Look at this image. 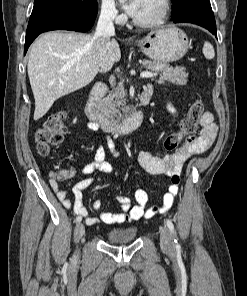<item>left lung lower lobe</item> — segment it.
Here are the masks:
<instances>
[{"label":"left lung lower lobe","instance_id":"left-lung-lower-lobe-1","mask_svg":"<svg viewBox=\"0 0 247 296\" xmlns=\"http://www.w3.org/2000/svg\"><path fill=\"white\" fill-rule=\"evenodd\" d=\"M174 23H193L208 29L217 37L216 23L209 0H194L183 10L171 15Z\"/></svg>","mask_w":247,"mask_h":296}]
</instances>
